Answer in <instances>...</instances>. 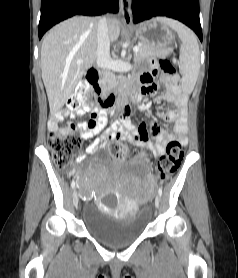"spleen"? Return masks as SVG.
Instances as JSON below:
<instances>
[{
	"instance_id": "spleen-1",
	"label": "spleen",
	"mask_w": 238,
	"mask_h": 278,
	"mask_svg": "<svg viewBox=\"0 0 238 278\" xmlns=\"http://www.w3.org/2000/svg\"><path fill=\"white\" fill-rule=\"evenodd\" d=\"M160 20L176 31L180 40V71L182 74V89L190 94L197 81L200 67V52L197 37L192 30L179 21L162 17Z\"/></svg>"
}]
</instances>
